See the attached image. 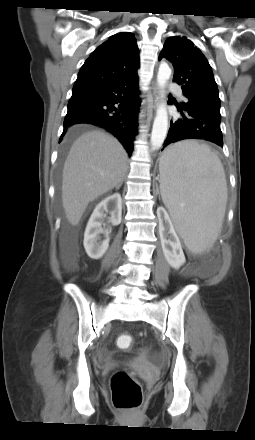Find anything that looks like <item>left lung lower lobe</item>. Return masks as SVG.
I'll return each instance as SVG.
<instances>
[{
    "instance_id": "1",
    "label": "left lung lower lobe",
    "mask_w": 255,
    "mask_h": 440,
    "mask_svg": "<svg viewBox=\"0 0 255 440\" xmlns=\"http://www.w3.org/2000/svg\"><path fill=\"white\" fill-rule=\"evenodd\" d=\"M178 109L182 118L171 120L170 129L162 150L168 144L184 139H203L223 147L220 114L183 106L184 112L179 107Z\"/></svg>"
}]
</instances>
